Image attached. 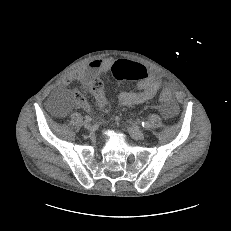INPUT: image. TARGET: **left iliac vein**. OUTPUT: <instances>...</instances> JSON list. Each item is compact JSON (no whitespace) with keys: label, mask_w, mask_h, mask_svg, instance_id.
<instances>
[{"label":"left iliac vein","mask_w":231,"mask_h":231,"mask_svg":"<svg viewBox=\"0 0 231 231\" xmlns=\"http://www.w3.org/2000/svg\"><path fill=\"white\" fill-rule=\"evenodd\" d=\"M128 131L130 135L136 140H142L144 138V132L136 127H129Z\"/></svg>","instance_id":"4c4485c4"}]
</instances>
